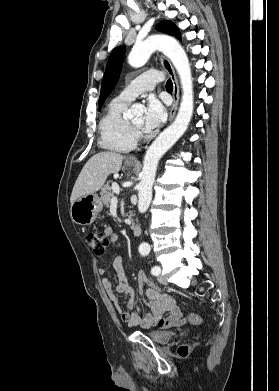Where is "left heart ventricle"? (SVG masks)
<instances>
[{
    "label": "left heart ventricle",
    "mask_w": 279,
    "mask_h": 391,
    "mask_svg": "<svg viewBox=\"0 0 279 391\" xmlns=\"http://www.w3.org/2000/svg\"><path fill=\"white\" fill-rule=\"evenodd\" d=\"M131 121L134 124L138 125V126H142V124H143V116L140 114V115L134 117L133 119H131Z\"/></svg>",
    "instance_id": "1"
}]
</instances>
